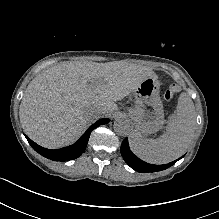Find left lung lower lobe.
<instances>
[{
  "mask_svg": "<svg viewBox=\"0 0 219 219\" xmlns=\"http://www.w3.org/2000/svg\"><path fill=\"white\" fill-rule=\"evenodd\" d=\"M121 155L124 158L125 162L134 170L140 173H148V172H157L167 169L168 167L172 166L176 161L170 162L168 164L164 165H155V164H149L142 160H140L138 157H136L130 150L128 145L127 138L123 140L121 145ZM181 159V158H179ZM178 159V160H179Z\"/></svg>",
  "mask_w": 219,
  "mask_h": 219,
  "instance_id": "1",
  "label": "left lung lower lobe"
}]
</instances>
